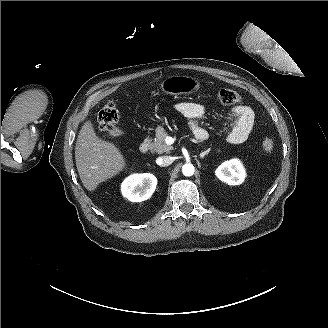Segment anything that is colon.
Masks as SVG:
<instances>
[{
	"label": "colon",
	"mask_w": 328,
	"mask_h": 328,
	"mask_svg": "<svg viewBox=\"0 0 328 328\" xmlns=\"http://www.w3.org/2000/svg\"><path fill=\"white\" fill-rule=\"evenodd\" d=\"M218 100L223 105H232L240 101V95L231 89L223 88L218 92ZM119 113L116 105L109 102L103 106L98 114V124L106 134H109L118 122ZM274 148V141L267 136L262 142V149L265 153H271Z\"/></svg>",
	"instance_id": "colon-1"
}]
</instances>
